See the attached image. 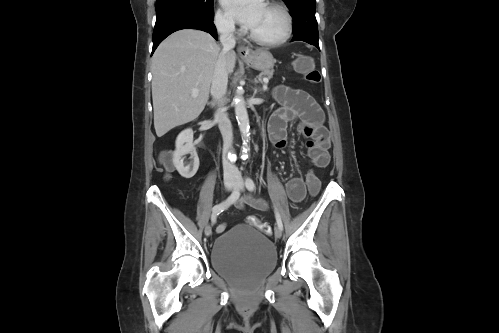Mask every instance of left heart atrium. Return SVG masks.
<instances>
[{"instance_id":"left-heart-atrium-1","label":"left heart atrium","mask_w":499,"mask_h":333,"mask_svg":"<svg viewBox=\"0 0 499 333\" xmlns=\"http://www.w3.org/2000/svg\"><path fill=\"white\" fill-rule=\"evenodd\" d=\"M228 14L237 22L251 28L265 8L264 0H221Z\"/></svg>"}]
</instances>
